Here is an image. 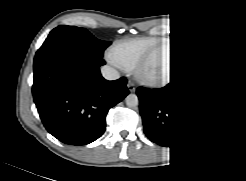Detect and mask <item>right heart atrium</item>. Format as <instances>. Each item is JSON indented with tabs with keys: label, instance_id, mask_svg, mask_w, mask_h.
Returning <instances> with one entry per match:
<instances>
[{
	"label": "right heart atrium",
	"instance_id": "d8ad5b80",
	"mask_svg": "<svg viewBox=\"0 0 246 181\" xmlns=\"http://www.w3.org/2000/svg\"><path fill=\"white\" fill-rule=\"evenodd\" d=\"M108 58L117 67L125 66L122 64V62L119 60L115 53H110Z\"/></svg>",
	"mask_w": 246,
	"mask_h": 181
}]
</instances>
